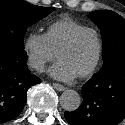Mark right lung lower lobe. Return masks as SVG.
<instances>
[{"mask_svg":"<svg viewBox=\"0 0 125 125\" xmlns=\"http://www.w3.org/2000/svg\"><path fill=\"white\" fill-rule=\"evenodd\" d=\"M27 54L0 41V123L17 117L27 101L28 89L41 81L27 67Z\"/></svg>","mask_w":125,"mask_h":125,"instance_id":"right-lung-lower-lobe-1","label":"right lung lower lobe"}]
</instances>
